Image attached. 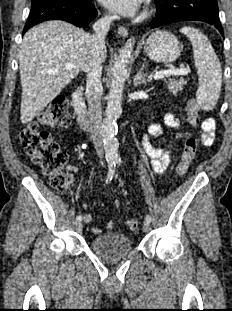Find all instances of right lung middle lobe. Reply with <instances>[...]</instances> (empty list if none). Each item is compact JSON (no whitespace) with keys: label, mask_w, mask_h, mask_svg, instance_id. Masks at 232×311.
I'll list each match as a JSON object with an SVG mask.
<instances>
[{"label":"right lung middle lobe","mask_w":232,"mask_h":311,"mask_svg":"<svg viewBox=\"0 0 232 311\" xmlns=\"http://www.w3.org/2000/svg\"><path fill=\"white\" fill-rule=\"evenodd\" d=\"M34 1H37V0H32V2ZM73 1L79 2L81 4H87V3H90L92 0H73Z\"/></svg>","instance_id":"1"}]
</instances>
